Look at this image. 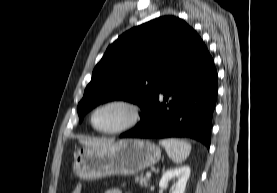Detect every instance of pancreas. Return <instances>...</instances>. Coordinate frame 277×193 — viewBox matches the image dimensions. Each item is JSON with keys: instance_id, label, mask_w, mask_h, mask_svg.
<instances>
[{"instance_id": "cf45deb5", "label": "pancreas", "mask_w": 277, "mask_h": 193, "mask_svg": "<svg viewBox=\"0 0 277 193\" xmlns=\"http://www.w3.org/2000/svg\"><path fill=\"white\" fill-rule=\"evenodd\" d=\"M135 182L139 183L141 186L148 187L149 178L141 176L135 177Z\"/></svg>"}]
</instances>
